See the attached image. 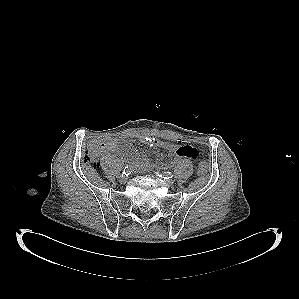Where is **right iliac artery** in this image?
<instances>
[{
	"label": "right iliac artery",
	"mask_w": 299,
	"mask_h": 299,
	"mask_svg": "<svg viewBox=\"0 0 299 299\" xmlns=\"http://www.w3.org/2000/svg\"><path fill=\"white\" fill-rule=\"evenodd\" d=\"M134 166H132V165H127L125 168H124V170H123V172H122V175H126V176H128L129 174H131L133 171H134Z\"/></svg>",
	"instance_id": "1"
}]
</instances>
